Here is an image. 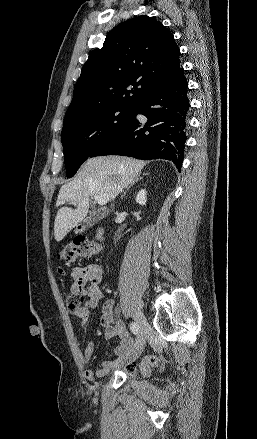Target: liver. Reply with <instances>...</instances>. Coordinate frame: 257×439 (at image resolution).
<instances>
[{
  "label": "liver",
  "instance_id": "1",
  "mask_svg": "<svg viewBox=\"0 0 257 439\" xmlns=\"http://www.w3.org/2000/svg\"><path fill=\"white\" fill-rule=\"evenodd\" d=\"M145 165V161L119 156L88 159L78 175L59 191L56 206L74 202L76 208L62 207L58 210L54 222L55 240L61 241L85 219L92 196L106 193L110 200L115 199L141 173Z\"/></svg>",
  "mask_w": 257,
  "mask_h": 439
}]
</instances>
